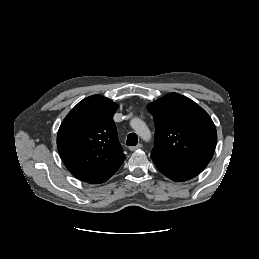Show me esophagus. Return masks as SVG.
I'll return each mask as SVG.
<instances>
[{
    "label": "esophagus",
    "mask_w": 259,
    "mask_h": 259,
    "mask_svg": "<svg viewBox=\"0 0 259 259\" xmlns=\"http://www.w3.org/2000/svg\"><path fill=\"white\" fill-rule=\"evenodd\" d=\"M140 148H142V144L141 143L137 144L136 146H131L129 149H130V151H135V150H138Z\"/></svg>",
    "instance_id": "esophagus-1"
}]
</instances>
